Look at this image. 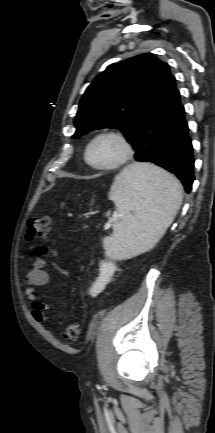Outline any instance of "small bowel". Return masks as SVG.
I'll use <instances>...</instances> for the list:
<instances>
[{"label": "small bowel", "instance_id": "1", "mask_svg": "<svg viewBox=\"0 0 215 433\" xmlns=\"http://www.w3.org/2000/svg\"><path fill=\"white\" fill-rule=\"evenodd\" d=\"M36 250L43 255L47 254V249L45 247H36ZM51 265L61 274H67V271L56 263L52 262ZM47 268V261L42 258H36L32 262L31 269L25 278V282L28 286L26 289V295L31 302L33 316L38 322L44 324H47L50 321V317L47 314L48 305L40 300L36 293V288L46 286L50 283L51 276L47 271ZM49 330L52 331V329Z\"/></svg>", "mask_w": 215, "mask_h": 433}]
</instances>
